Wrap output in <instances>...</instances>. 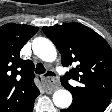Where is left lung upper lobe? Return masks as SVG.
I'll use <instances>...</instances> for the list:
<instances>
[{"instance_id": "obj_1", "label": "left lung upper lobe", "mask_w": 112, "mask_h": 112, "mask_svg": "<svg viewBox=\"0 0 112 112\" xmlns=\"http://www.w3.org/2000/svg\"><path fill=\"white\" fill-rule=\"evenodd\" d=\"M43 32L61 53L63 66L77 64L61 77L73 103L107 107L112 98V49L108 43L79 23L43 27ZM70 79L78 85L71 86Z\"/></svg>"}]
</instances>
